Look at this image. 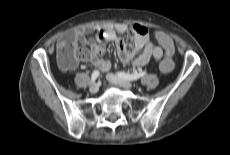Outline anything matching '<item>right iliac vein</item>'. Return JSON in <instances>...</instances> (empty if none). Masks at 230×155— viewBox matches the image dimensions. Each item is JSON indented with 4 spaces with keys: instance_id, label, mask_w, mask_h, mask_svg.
Masks as SVG:
<instances>
[{
    "instance_id": "right-iliac-vein-1",
    "label": "right iliac vein",
    "mask_w": 230,
    "mask_h": 155,
    "mask_svg": "<svg viewBox=\"0 0 230 155\" xmlns=\"http://www.w3.org/2000/svg\"><path fill=\"white\" fill-rule=\"evenodd\" d=\"M98 89H99V86H98V84H92L91 86H90V89H89V91L91 92V93H97L98 92Z\"/></svg>"
}]
</instances>
